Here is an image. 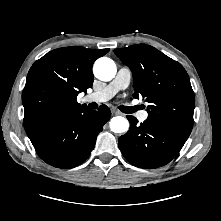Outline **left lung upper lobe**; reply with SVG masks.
<instances>
[{"label": "left lung upper lobe", "instance_id": "1", "mask_svg": "<svg viewBox=\"0 0 221 221\" xmlns=\"http://www.w3.org/2000/svg\"><path fill=\"white\" fill-rule=\"evenodd\" d=\"M114 53L132 71L133 96L149 103L148 119L190 134L195 97L183 66L146 44L115 49Z\"/></svg>", "mask_w": 221, "mask_h": 221}]
</instances>
